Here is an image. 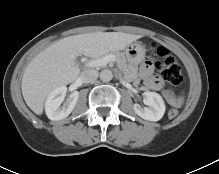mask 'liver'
Segmentation results:
<instances>
[{
  "mask_svg": "<svg viewBox=\"0 0 219 174\" xmlns=\"http://www.w3.org/2000/svg\"><path fill=\"white\" fill-rule=\"evenodd\" d=\"M140 37L122 32H95L55 42L34 57L25 69L21 89L26 104L41 115L50 92L74 82L79 76L78 56L99 57L110 51L124 50Z\"/></svg>",
  "mask_w": 219,
  "mask_h": 174,
  "instance_id": "liver-1",
  "label": "liver"
}]
</instances>
